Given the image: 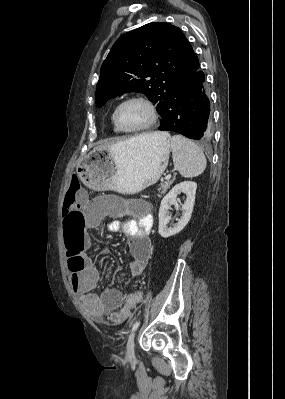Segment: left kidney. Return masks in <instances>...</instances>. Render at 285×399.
Listing matches in <instances>:
<instances>
[{"instance_id":"left-kidney-1","label":"left kidney","mask_w":285,"mask_h":399,"mask_svg":"<svg viewBox=\"0 0 285 399\" xmlns=\"http://www.w3.org/2000/svg\"><path fill=\"white\" fill-rule=\"evenodd\" d=\"M197 184L192 181H184L175 185L170 192L162 199L160 209H159V234L163 238H168L175 234H178L189 222L193 206L195 203ZM180 193H186L187 198L185 203L181 206L182 216L173 227L168 228L171 216L169 215V209L172 205H175L176 210L179 209V204L177 202V196Z\"/></svg>"}]
</instances>
